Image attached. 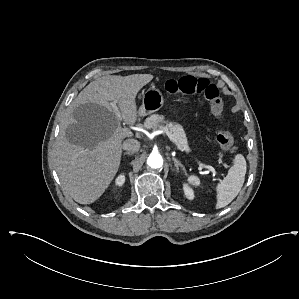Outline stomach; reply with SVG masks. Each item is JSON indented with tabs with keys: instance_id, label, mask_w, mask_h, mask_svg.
<instances>
[{
	"instance_id": "stomach-1",
	"label": "stomach",
	"mask_w": 299,
	"mask_h": 299,
	"mask_svg": "<svg viewBox=\"0 0 299 299\" xmlns=\"http://www.w3.org/2000/svg\"><path fill=\"white\" fill-rule=\"evenodd\" d=\"M164 98L160 90L152 87L143 92L142 105L139 108V116H147L162 108Z\"/></svg>"
}]
</instances>
